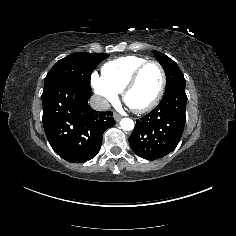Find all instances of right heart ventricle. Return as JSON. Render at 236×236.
Segmentation results:
<instances>
[{"instance_id":"e07e8e85","label":"right heart ventricle","mask_w":236,"mask_h":236,"mask_svg":"<svg viewBox=\"0 0 236 236\" xmlns=\"http://www.w3.org/2000/svg\"><path fill=\"white\" fill-rule=\"evenodd\" d=\"M146 58L127 55L108 61L101 68V77L104 82L116 93H121L133 71Z\"/></svg>"}]
</instances>
